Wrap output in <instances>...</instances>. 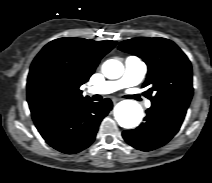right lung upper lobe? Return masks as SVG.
Returning a JSON list of instances; mask_svg holds the SVG:
<instances>
[{"label": "right lung upper lobe", "instance_id": "right-lung-upper-lobe-1", "mask_svg": "<svg viewBox=\"0 0 212 183\" xmlns=\"http://www.w3.org/2000/svg\"><path fill=\"white\" fill-rule=\"evenodd\" d=\"M115 41L59 38L43 47L33 60L27 80V100L32 114L54 104L90 101L79 87L94 73L100 59Z\"/></svg>", "mask_w": 212, "mask_h": 183}]
</instances>
